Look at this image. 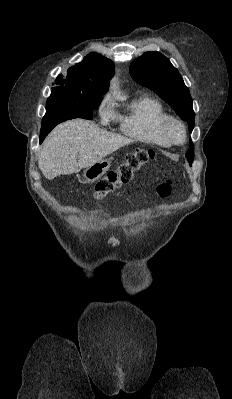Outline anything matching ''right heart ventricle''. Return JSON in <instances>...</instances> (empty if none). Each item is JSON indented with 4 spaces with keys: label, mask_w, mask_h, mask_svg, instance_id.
<instances>
[{
    "label": "right heart ventricle",
    "mask_w": 232,
    "mask_h": 399,
    "mask_svg": "<svg viewBox=\"0 0 232 399\" xmlns=\"http://www.w3.org/2000/svg\"><path fill=\"white\" fill-rule=\"evenodd\" d=\"M166 115L167 111L159 101L144 97L127 115L118 118L119 131L133 141L169 148L173 143L161 129V121Z\"/></svg>",
    "instance_id": "e07e8e85"
}]
</instances>
